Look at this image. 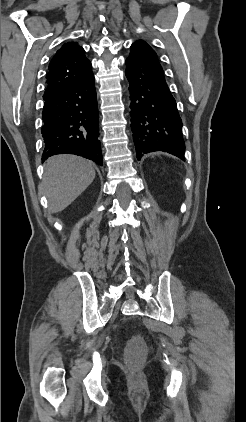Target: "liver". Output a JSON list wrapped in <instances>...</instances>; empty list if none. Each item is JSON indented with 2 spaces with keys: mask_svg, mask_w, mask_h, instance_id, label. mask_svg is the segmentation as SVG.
I'll return each mask as SVG.
<instances>
[{
  "mask_svg": "<svg viewBox=\"0 0 246 422\" xmlns=\"http://www.w3.org/2000/svg\"><path fill=\"white\" fill-rule=\"evenodd\" d=\"M94 178V167L86 159L65 154L49 158L45 164L41 189L48 198L50 212L64 210Z\"/></svg>",
  "mask_w": 246,
  "mask_h": 422,
  "instance_id": "liver-1",
  "label": "liver"
}]
</instances>
